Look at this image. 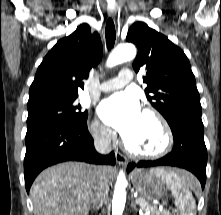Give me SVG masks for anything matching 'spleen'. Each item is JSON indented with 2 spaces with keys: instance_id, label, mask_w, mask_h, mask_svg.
Masks as SVG:
<instances>
[{
  "instance_id": "obj_1",
  "label": "spleen",
  "mask_w": 221,
  "mask_h": 215,
  "mask_svg": "<svg viewBox=\"0 0 221 215\" xmlns=\"http://www.w3.org/2000/svg\"><path fill=\"white\" fill-rule=\"evenodd\" d=\"M157 174L171 190L180 215H196V203L190 191L197 186L195 177L185 171L167 172L161 169L157 170Z\"/></svg>"
}]
</instances>
